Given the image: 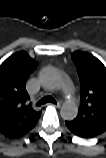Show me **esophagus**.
Returning a JSON list of instances; mask_svg holds the SVG:
<instances>
[{"label":"esophagus","mask_w":106,"mask_h":158,"mask_svg":"<svg viewBox=\"0 0 106 158\" xmlns=\"http://www.w3.org/2000/svg\"><path fill=\"white\" fill-rule=\"evenodd\" d=\"M48 105L54 106V107H57V108H60L61 105H62V102H61V101H58L56 104H54V103H48Z\"/></svg>","instance_id":"obj_1"}]
</instances>
